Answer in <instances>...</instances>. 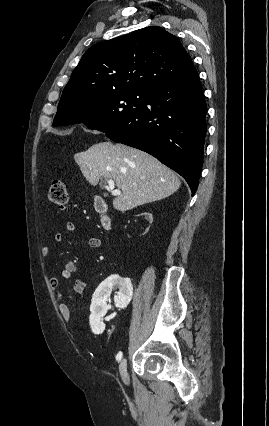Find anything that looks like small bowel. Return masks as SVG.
Instances as JSON below:
<instances>
[{
    "instance_id": "c3829d8e",
    "label": "small bowel",
    "mask_w": 269,
    "mask_h": 426,
    "mask_svg": "<svg viewBox=\"0 0 269 426\" xmlns=\"http://www.w3.org/2000/svg\"><path fill=\"white\" fill-rule=\"evenodd\" d=\"M66 230L69 232H73L75 230V224L73 222H67L66 223ZM63 240V234L57 233L55 234L53 238L54 243H60ZM87 244L90 248L97 249L101 246V240L97 237H89L87 239ZM51 252V246L47 245L42 248V254L44 256H48ZM76 271V264L73 261H67L63 268L60 270L59 274L57 276H52L49 280L50 287L55 295V297L59 300H63V284L64 282L68 281L72 274ZM86 286V282L84 280H77L74 284V291L76 293H81ZM59 312L62 316V318L65 321L71 320V311L69 306L61 302L59 304Z\"/></svg>"
}]
</instances>
